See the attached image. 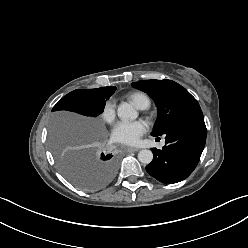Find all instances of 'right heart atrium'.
<instances>
[{
	"label": "right heart atrium",
	"mask_w": 248,
	"mask_h": 248,
	"mask_svg": "<svg viewBox=\"0 0 248 248\" xmlns=\"http://www.w3.org/2000/svg\"><path fill=\"white\" fill-rule=\"evenodd\" d=\"M102 120L106 123H113L116 118V109L113 101L108 100L104 103L101 111Z\"/></svg>",
	"instance_id": "d8ad5b80"
}]
</instances>
